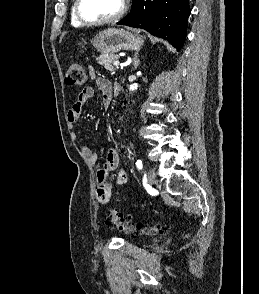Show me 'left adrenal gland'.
Returning a JSON list of instances; mask_svg holds the SVG:
<instances>
[{"instance_id":"a2214340","label":"left adrenal gland","mask_w":259,"mask_h":294,"mask_svg":"<svg viewBox=\"0 0 259 294\" xmlns=\"http://www.w3.org/2000/svg\"><path fill=\"white\" fill-rule=\"evenodd\" d=\"M139 64H140V60L138 58V52H136L133 57V70H136Z\"/></svg>"}]
</instances>
